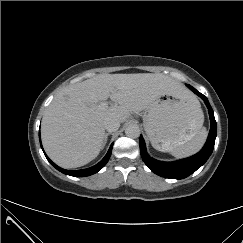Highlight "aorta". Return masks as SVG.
Listing matches in <instances>:
<instances>
[{"instance_id":"762f6f07","label":"aorta","mask_w":243,"mask_h":243,"mask_svg":"<svg viewBox=\"0 0 243 243\" xmlns=\"http://www.w3.org/2000/svg\"><path fill=\"white\" fill-rule=\"evenodd\" d=\"M125 134L130 138H137L140 135V129L137 125H129L125 129Z\"/></svg>"}]
</instances>
